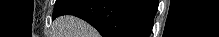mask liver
Returning a JSON list of instances; mask_svg holds the SVG:
<instances>
[{
  "mask_svg": "<svg viewBox=\"0 0 219 37\" xmlns=\"http://www.w3.org/2000/svg\"><path fill=\"white\" fill-rule=\"evenodd\" d=\"M54 37H96L98 34L85 21L74 16L58 17L53 24Z\"/></svg>",
  "mask_w": 219,
  "mask_h": 37,
  "instance_id": "1",
  "label": "liver"
}]
</instances>
